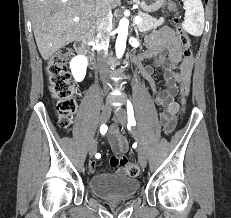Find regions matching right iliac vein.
Listing matches in <instances>:
<instances>
[{"label": "right iliac vein", "instance_id": "right-iliac-vein-1", "mask_svg": "<svg viewBox=\"0 0 231 218\" xmlns=\"http://www.w3.org/2000/svg\"><path fill=\"white\" fill-rule=\"evenodd\" d=\"M110 115H111V108L109 106H104L100 114V123L101 124L106 123L109 120ZM96 151H97V143L95 140H93L89 147V155L93 157Z\"/></svg>", "mask_w": 231, "mask_h": 218}]
</instances>
